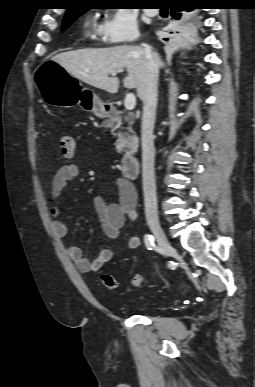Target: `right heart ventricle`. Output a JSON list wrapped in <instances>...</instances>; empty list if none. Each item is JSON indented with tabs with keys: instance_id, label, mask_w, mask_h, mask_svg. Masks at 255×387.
Here are the masks:
<instances>
[{
	"instance_id": "1",
	"label": "right heart ventricle",
	"mask_w": 255,
	"mask_h": 387,
	"mask_svg": "<svg viewBox=\"0 0 255 387\" xmlns=\"http://www.w3.org/2000/svg\"><path fill=\"white\" fill-rule=\"evenodd\" d=\"M87 26L91 27V32H93L95 30L93 24L91 25L90 22H87Z\"/></svg>"
}]
</instances>
